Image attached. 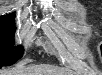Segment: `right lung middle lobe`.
Masks as SVG:
<instances>
[{"mask_svg":"<svg viewBox=\"0 0 102 75\" xmlns=\"http://www.w3.org/2000/svg\"><path fill=\"white\" fill-rule=\"evenodd\" d=\"M14 15L0 17V66H9L18 61L23 55L21 46L14 45Z\"/></svg>","mask_w":102,"mask_h":75,"instance_id":"1","label":"right lung middle lobe"}]
</instances>
